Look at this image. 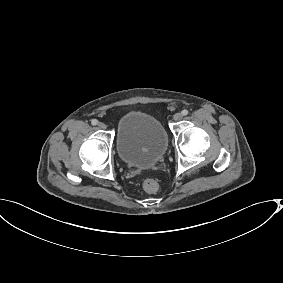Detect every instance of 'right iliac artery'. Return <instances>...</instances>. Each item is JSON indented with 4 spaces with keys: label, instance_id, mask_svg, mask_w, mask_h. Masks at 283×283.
Segmentation results:
<instances>
[{
    "label": "right iliac artery",
    "instance_id": "right-iliac-artery-1",
    "mask_svg": "<svg viewBox=\"0 0 283 283\" xmlns=\"http://www.w3.org/2000/svg\"><path fill=\"white\" fill-rule=\"evenodd\" d=\"M91 124H92V125H97V124H98V120L93 119V120L91 121Z\"/></svg>",
    "mask_w": 283,
    "mask_h": 283
}]
</instances>
